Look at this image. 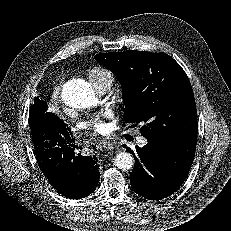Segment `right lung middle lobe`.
I'll list each match as a JSON object with an SVG mask.
<instances>
[{"label":"right lung middle lobe","instance_id":"right-lung-middle-lobe-1","mask_svg":"<svg viewBox=\"0 0 231 231\" xmlns=\"http://www.w3.org/2000/svg\"><path fill=\"white\" fill-rule=\"evenodd\" d=\"M44 104L45 102L40 100L39 98L35 99V103L30 108L29 125H31L35 121L36 115L40 112V109L43 108Z\"/></svg>","mask_w":231,"mask_h":231}]
</instances>
